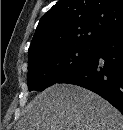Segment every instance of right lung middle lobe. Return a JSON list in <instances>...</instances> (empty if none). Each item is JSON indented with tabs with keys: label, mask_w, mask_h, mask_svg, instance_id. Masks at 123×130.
I'll return each mask as SVG.
<instances>
[{
	"label": "right lung middle lobe",
	"mask_w": 123,
	"mask_h": 130,
	"mask_svg": "<svg viewBox=\"0 0 123 130\" xmlns=\"http://www.w3.org/2000/svg\"><path fill=\"white\" fill-rule=\"evenodd\" d=\"M95 45L79 44L36 57L28 62L29 91H43L76 70L94 51Z\"/></svg>",
	"instance_id": "right-lung-middle-lobe-1"
}]
</instances>
